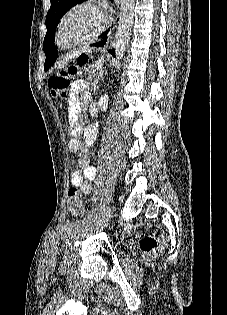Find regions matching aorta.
Returning a JSON list of instances; mask_svg holds the SVG:
<instances>
[{
    "label": "aorta",
    "mask_w": 227,
    "mask_h": 315,
    "mask_svg": "<svg viewBox=\"0 0 227 315\" xmlns=\"http://www.w3.org/2000/svg\"><path fill=\"white\" fill-rule=\"evenodd\" d=\"M134 5L135 0H121L120 2L119 21L114 43L117 62L123 58L130 40L134 18Z\"/></svg>",
    "instance_id": "obj_1"
}]
</instances>
